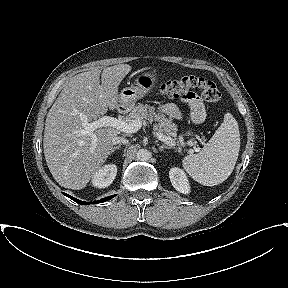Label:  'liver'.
Listing matches in <instances>:
<instances>
[{
	"label": "liver",
	"mask_w": 288,
	"mask_h": 288,
	"mask_svg": "<svg viewBox=\"0 0 288 288\" xmlns=\"http://www.w3.org/2000/svg\"><path fill=\"white\" fill-rule=\"evenodd\" d=\"M131 71L128 64L98 68L72 77L49 110L44 131V156L56 182L69 189L87 186L94 174L112 153V140L120 134L113 127H101L93 134L97 145L92 149V138L81 131L82 119L88 122L104 115L108 108L120 106L118 87ZM101 73V84H100Z\"/></svg>",
	"instance_id": "liver-1"
}]
</instances>
